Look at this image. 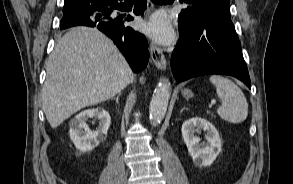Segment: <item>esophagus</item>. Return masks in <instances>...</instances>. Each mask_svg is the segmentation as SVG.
Segmentation results:
<instances>
[{"mask_svg": "<svg viewBox=\"0 0 293 184\" xmlns=\"http://www.w3.org/2000/svg\"><path fill=\"white\" fill-rule=\"evenodd\" d=\"M148 8L152 9L153 4L148 0ZM150 55L153 63L156 65V67L160 70H165L167 63L165 56L161 50L155 43H150Z\"/></svg>", "mask_w": 293, "mask_h": 184, "instance_id": "obj_1", "label": "esophagus"}]
</instances>
